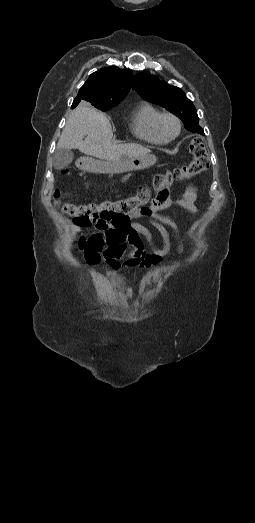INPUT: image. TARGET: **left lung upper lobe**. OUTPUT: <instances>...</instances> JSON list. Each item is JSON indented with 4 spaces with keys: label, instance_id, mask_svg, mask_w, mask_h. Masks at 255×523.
<instances>
[{
    "label": "left lung upper lobe",
    "instance_id": "obj_1",
    "mask_svg": "<svg viewBox=\"0 0 255 523\" xmlns=\"http://www.w3.org/2000/svg\"><path fill=\"white\" fill-rule=\"evenodd\" d=\"M133 87L143 99L165 107L178 116L187 130L204 134L198 124L196 108L178 87L145 73L135 75Z\"/></svg>",
    "mask_w": 255,
    "mask_h": 523
}]
</instances>
